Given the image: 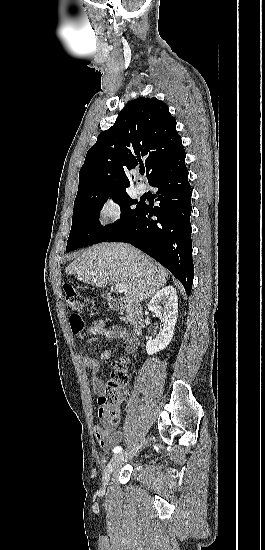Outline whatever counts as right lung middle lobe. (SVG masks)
<instances>
[{
    "label": "right lung middle lobe",
    "instance_id": "obj_1",
    "mask_svg": "<svg viewBox=\"0 0 265 550\" xmlns=\"http://www.w3.org/2000/svg\"><path fill=\"white\" fill-rule=\"evenodd\" d=\"M109 197L121 206L122 216L118 222L103 227L99 222V214ZM134 204L137 205L135 209L132 208ZM142 204L131 199L126 191L92 198H76L66 251L106 241L136 217Z\"/></svg>",
    "mask_w": 265,
    "mask_h": 550
}]
</instances>
